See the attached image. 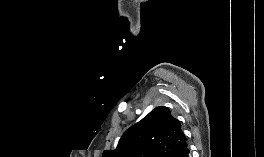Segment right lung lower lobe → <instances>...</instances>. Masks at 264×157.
<instances>
[{"instance_id":"right-lung-lower-lobe-1","label":"right lung lower lobe","mask_w":264,"mask_h":157,"mask_svg":"<svg viewBox=\"0 0 264 157\" xmlns=\"http://www.w3.org/2000/svg\"><path fill=\"white\" fill-rule=\"evenodd\" d=\"M178 157H190L189 149L186 148L185 150H183Z\"/></svg>"}]
</instances>
